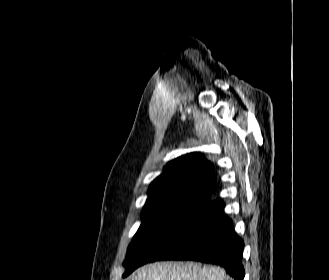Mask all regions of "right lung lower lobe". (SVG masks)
<instances>
[{"label":"right lung lower lobe","instance_id":"obj_1","mask_svg":"<svg viewBox=\"0 0 329 280\" xmlns=\"http://www.w3.org/2000/svg\"><path fill=\"white\" fill-rule=\"evenodd\" d=\"M221 199L207 203L148 262L158 260H195L223 266L236 280L245 276L242 265L244 243L234 233L232 220L224 214Z\"/></svg>","mask_w":329,"mask_h":280}]
</instances>
